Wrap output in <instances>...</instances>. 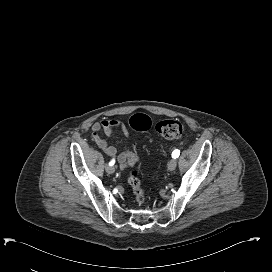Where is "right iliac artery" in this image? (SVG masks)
Wrapping results in <instances>:
<instances>
[{
    "instance_id": "right-iliac-artery-1",
    "label": "right iliac artery",
    "mask_w": 272,
    "mask_h": 272,
    "mask_svg": "<svg viewBox=\"0 0 272 272\" xmlns=\"http://www.w3.org/2000/svg\"><path fill=\"white\" fill-rule=\"evenodd\" d=\"M115 164V160L112 159L110 162H109V165H114Z\"/></svg>"
}]
</instances>
